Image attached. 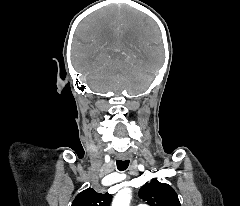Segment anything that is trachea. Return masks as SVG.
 I'll list each match as a JSON object with an SVG mask.
<instances>
[{
  "label": "trachea",
  "instance_id": "1",
  "mask_svg": "<svg viewBox=\"0 0 240 206\" xmlns=\"http://www.w3.org/2000/svg\"><path fill=\"white\" fill-rule=\"evenodd\" d=\"M129 165V160H117V168L120 171L126 170L128 168Z\"/></svg>",
  "mask_w": 240,
  "mask_h": 206
}]
</instances>
